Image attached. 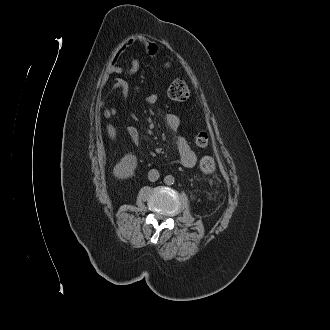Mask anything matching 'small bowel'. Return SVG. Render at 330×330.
<instances>
[{
  "label": "small bowel",
  "mask_w": 330,
  "mask_h": 330,
  "mask_svg": "<svg viewBox=\"0 0 330 330\" xmlns=\"http://www.w3.org/2000/svg\"><path fill=\"white\" fill-rule=\"evenodd\" d=\"M120 55H121V51H119V50L114 53L112 60H111L110 67H109V71L111 73H115V74H119V75L134 74L138 69V62H136V61L132 62L131 66L127 67V68L118 67L116 65V61ZM117 86L121 87L123 89H127V82L123 79H119L117 82ZM148 102L153 103L154 102L153 97H150L148 99ZM166 124L171 130L176 131L179 126V119L177 118V116H175L173 114H169L166 117ZM176 145H177V148H178V151L180 154V160H181L182 165L185 167L194 166L196 163V156H195L194 152L190 149L185 138L182 136H178L176 139Z\"/></svg>",
  "instance_id": "obj_1"
}]
</instances>
